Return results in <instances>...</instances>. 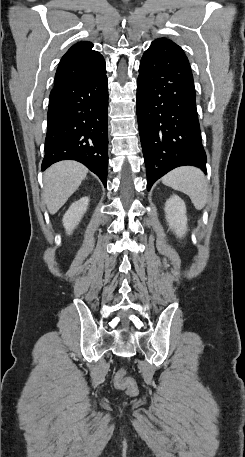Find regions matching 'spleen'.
<instances>
[{
  "label": "spleen",
  "mask_w": 245,
  "mask_h": 457,
  "mask_svg": "<svg viewBox=\"0 0 245 457\" xmlns=\"http://www.w3.org/2000/svg\"><path fill=\"white\" fill-rule=\"evenodd\" d=\"M166 186L181 190L190 196L195 208L201 210L208 200V184L206 176L196 166H178L162 178Z\"/></svg>",
  "instance_id": "1"
}]
</instances>
